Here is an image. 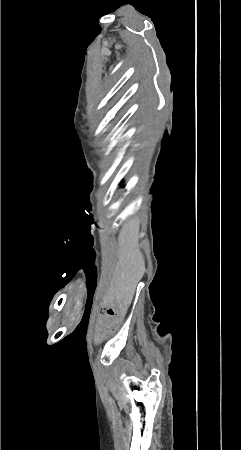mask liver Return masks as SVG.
Listing matches in <instances>:
<instances>
[{"label":"liver","instance_id":"obj_1","mask_svg":"<svg viewBox=\"0 0 241 450\" xmlns=\"http://www.w3.org/2000/svg\"><path fill=\"white\" fill-rule=\"evenodd\" d=\"M140 222L133 218L124 224L118 238V262L113 270L109 296L117 304L130 306L136 286L145 274L144 258L139 250Z\"/></svg>","mask_w":241,"mask_h":450}]
</instances>
